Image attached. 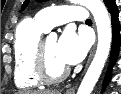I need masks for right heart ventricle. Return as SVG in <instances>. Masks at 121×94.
<instances>
[{
	"label": "right heart ventricle",
	"instance_id": "1",
	"mask_svg": "<svg viewBox=\"0 0 121 94\" xmlns=\"http://www.w3.org/2000/svg\"><path fill=\"white\" fill-rule=\"evenodd\" d=\"M47 29L37 20H24L16 30L14 40V80L18 88L33 89L40 86L34 70L36 46Z\"/></svg>",
	"mask_w": 121,
	"mask_h": 94
}]
</instances>
